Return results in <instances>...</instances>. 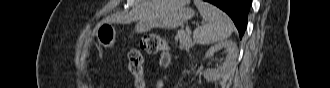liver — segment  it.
<instances>
[{
    "mask_svg": "<svg viewBox=\"0 0 330 88\" xmlns=\"http://www.w3.org/2000/svg\"><path fill=\"white\" fill-rule=\"evenodd\" d=\"M155 0H143L136 5L126 16L122 17L123 21L133 22L146 19L154 7ZM111 17L110 19H112Z\"/></svg>",
    "mask_w": 330,
    "mask_h": 88,
    "instance_id": "6515ba94",
    "label": "liver"
}]
</instances>
